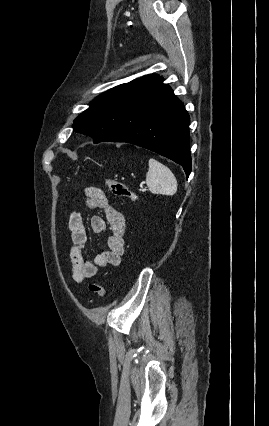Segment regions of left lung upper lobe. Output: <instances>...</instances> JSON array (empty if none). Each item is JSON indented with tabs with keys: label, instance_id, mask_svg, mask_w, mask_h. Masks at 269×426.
Here are the masks:
<instances>
[{
	"label": "left lung upper lobe",
	"instance_id": "1",
	"mask_svg": "<svg viewBox=\"0 0 269 426\" xmlns=\"http://www.w3.org/2000/svg\"><path fill=\"white\" fill-rule=\"evenodd\" d=\"M157 77L156 74L146 75L102 93L74 120L75 131L91 136L94 143L102 142L117 126L119 117L132 96Z\"/></svg>",
	"mask_w": 269,
	"mask_h": 426
}]
</instances>
